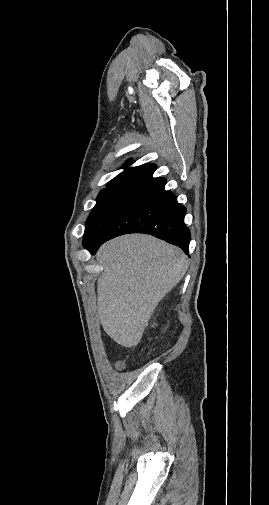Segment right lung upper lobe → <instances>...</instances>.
<instances>
[{
	"label": "right lung upper lobe",
	"mask_w": 269,
	"mask_h": 505,
	"mask_svg": "<svg viewBox=\"0 0 269 505\" xmlns=\"http://www.w3.org/2000/svg\"><path fill=\"white\" fill-rule=\"evenodd\" d=\"M132 163V160L127 161L123 166L125 170L112 179L107 187L140 190L155 179L152 175L156 170V165L144 164L136 167H129Z\"/></svg>",
	"instance_id": "cb5924a9"
}]
</instances>
